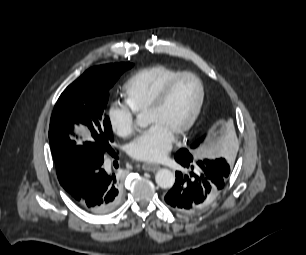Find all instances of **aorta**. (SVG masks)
<instances>
[{"instance_id":"1","label":"aorta","mask_w":306,"mask_h":255,"mask_svg":"<svg viewBox=\"0 0 306 255\" xmlns=\"http://www.w3.org/2000/svg\"><path fill=\"white\" fill-rule=\"evenodd\" d=\"M136 124L143 126L144 122L140 116L136 119ZM157 185L162 189H170L175 183V176L169 169H159L155 175Z\"/></svg>"}]
</instances>
